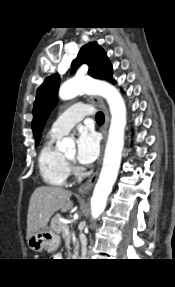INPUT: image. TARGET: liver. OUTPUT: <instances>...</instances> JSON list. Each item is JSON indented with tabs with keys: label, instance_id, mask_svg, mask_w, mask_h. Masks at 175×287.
Returning a JSON list of instances; mask_svg holds the SVG:
<instances>
[{
	"label": "liver",
	"instance_id": "1",
	"mask_svg": "<svg viewBox=\"0 0 175 287\" xmlns=\"http://www.w3.org/2000/svg\"><path fill=\"white\" fill-rule=\"evenodd\" d=\"M71 195V191L60 187L40 186L36 188L29 201L26 238L45 228L52 215L58 210L62 213L70 210L73 205L70 200Z\"/></svg>",
	"mask_w": 175,
	"mask_h": 287
}]
</instances>
